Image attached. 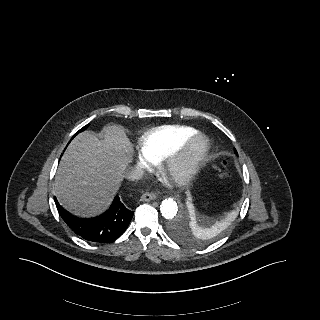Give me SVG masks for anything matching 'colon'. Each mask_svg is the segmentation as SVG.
I'll return each instance as SVG.
<instances>
[{
    "label": "colon",
    "mask_w": 320,
    "mask_h": 320,
    "mask_svg": "<svg viewBox=\"0 0 320 320\" xmlns=\"http://www.w3.org/2000/svg\"><path fill=\"white\" fill-rule=\"evenodd\" d=\"M222 175H223L224 177H227V176H228V172H227V169H226V162H223Z\"/></svg>",
    "instance_id": "obj_1"
}]
</instances>
